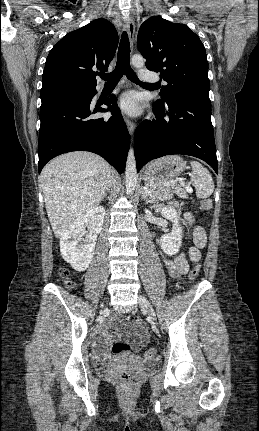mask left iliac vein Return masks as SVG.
I'll return each instance as SVG.
<instances>
[{
    "mask_svg": "<svg viewBox=\"0 0 259 431\" xmlns=\"http://www.w3.org/2000/svg\"><path fill=\"white\" fill-rule=\"evenodd\" d=\"M138 302H139L140 307L148 313L149 317L152 320H156L155 311H154L151 303L148 301V299H146L143 295H139L138 296Z\"/></svg>",
    "mask_w": 259,
    "mask_h": 431,
    "instance_id": "4c4485c4",
    "label": "left iliac vein"
}]
</instances>
